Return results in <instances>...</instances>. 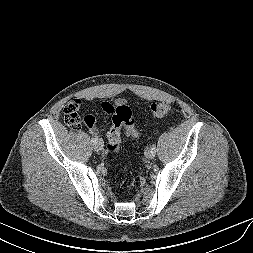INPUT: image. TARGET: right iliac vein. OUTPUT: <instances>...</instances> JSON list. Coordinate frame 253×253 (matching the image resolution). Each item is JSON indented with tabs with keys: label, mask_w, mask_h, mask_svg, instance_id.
Listing matches in <instances>:
<instances>
[{
	"label": "right iliac vein",
	"mask_w": 253,
	"mask_h": 253,
	"mask_svg": "<svg viewBox=\"0 0 253 253\" xmlns=\"http://www.w3.org/2000/svg\"><path fill=\"white\" fill-rule=\"evenodd\" d=\"M93 147L95 151H102L104 148V142L102 140H97L94 142Z\"/></svg>",
	"instance_id": "63e3f726"
}]
</instances>
